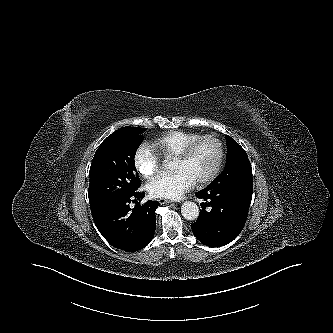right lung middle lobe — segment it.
Masks as SVG:
<instances>
[{
  "label": "right lung middle lobe",
  "instance_id": "obj_1",
  "mask_svg": "<svg viewBox=\"0 0 333 333\" xmlns=\"http://www.w3.org/2000/svg\"><path fill=\"white\" fill-rule=\"evenodd\" d=\"M145 128L123 127L109 135L97 149L89 171V203L95 206L135 192L140 186L134 163Z\"/></svg>",
  "mask_w": 333,
  "mask_h": 333
}]
</instances>
